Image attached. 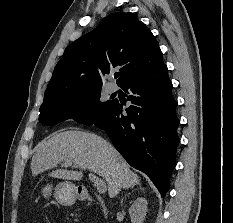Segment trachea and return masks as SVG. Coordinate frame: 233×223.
<instances>
[{
	"label": "trachea",
	"instance_id": "3493384b",
	"mask_svg": "<svg viewBox=\"0 0 233 223\" xmlns=\"http://www.w3.org/2000/svg\"><path fill=\"white\" fill-rule=\"evenodd\" d=\"M118 76H119L118 74H115V75H114L115 78H118Z\"/></svg>",
	"mask_w": 233,
	"mask_h": 223
}]
</instances>
